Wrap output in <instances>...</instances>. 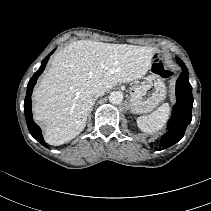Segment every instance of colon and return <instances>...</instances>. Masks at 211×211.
Here are the masks:
<instances>
[{
	"instance_id": "colon-1",
	"label": "colon",
	"mask_w": 211,
	"mask_h": 211,
	"mask_svg": "<svg viewBox=\"0 0 211 211\" xmlns=\"http://www.w3.org/2000/svg\"><path fill=\"white\" fill-rule=\"evenodd\" d=\"M157 72L162 76V77H169L171 75V72L162 64V63H157L155 64Z\"/></svg>"
}]
</instances>
